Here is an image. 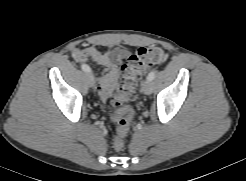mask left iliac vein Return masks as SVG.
<instances>
[{
	"label": "left iliac vein",
	"mask_w": 246,
	"mask_h": 181,
	"mask_svg": "<svg viewBox=\"0 0 246 181\" xmlns=\"http://www.w3.org/2000/svg\"><path fill=\"white\" fill-rule=\"evenodd\" d=\"M141 91L146 95L151 94V92H152L151 80L146 79L145 81H143V83L141 85Z\"/></svg>",
	"instance_id": "4c4485c4"
}]
</instances>
